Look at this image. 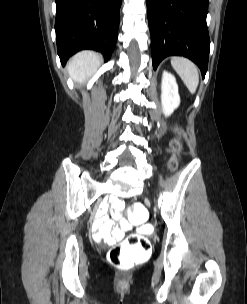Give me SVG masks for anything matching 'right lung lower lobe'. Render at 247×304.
I'll return each instance as SVG.
<instances>
[{"label":"right lung lower lobe","mask_w":247,"mask_h":304,"mask_svg":"<svg viewBox=\"0 0 247 304\" xmlns=\"http://www.w3.org/2000/svg\"><path fill=\"white\" fill-rule=\"evenodd\" d=\"M56 42L61 63L83 49L101 52L107 61L114 50L122 0H55Z\"/></svg>","instance_id":"obj_1"}]
</instances>
